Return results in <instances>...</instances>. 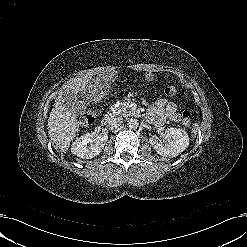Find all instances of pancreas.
I'll use <instances>...</instances> for the list:
<instances>
[{
	"label": "pancreas",
	"instance_id": "obj_1",
	"mask_svg": "<svg viewBox=\"0 0 247 247\" xmlns=\"http://www.w3.org/2000/svg\"><path fill=\"white\" fill-rule=\"evenodd\" d=\"M130 102H131V99L127 98L123 102L114 104L111 107V111L114 112V114L120 115V116H123V117H128V116H131V115H135L136 114L135 111L132 110L129 107Z\"/></svg>",
	"mask_w": 247,
	"mask_h": 247
}]
</instances>
